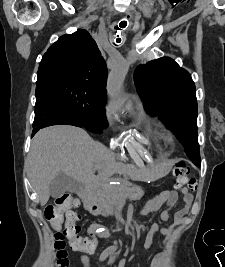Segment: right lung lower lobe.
I'll use <instances>...</instances> for the list:
<instances>
[{
    "label": "right lung lower lobe",
    "instance_id": "1",
    "mask_svg": "<svg viewBox=\"0 0 225 267\" xmlns=\"http://www.w3.org/2000/svg\"><path fill=\"white\" fill-rule=\"evenodd\" d=\"M52 125L83 127L57 100L43 90H36L35 119L32 136L41 128Z\"/></svg>",
    "mask_w": 225,
    "mask_h": 267
}]
</instances>
